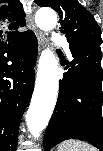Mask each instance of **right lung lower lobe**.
<instances>
[{
  "mask_svg": "<svg viewBox=\"0 0 103 151\" xmlns=\"http://www.w3.org/2000/svg\"><path fill=\"white\" fill-rule=\"evenodd\" d=\"M36 56L35 36L22 34L16 41L0 45L1 151H16L18 127L33 91Z\"/></svg>",
  "mask_w": 103,
  "mask_h": 151,
  "instance_id": "98d812e1",
  "label": "right lung lower lobe"
}]
</instances>
